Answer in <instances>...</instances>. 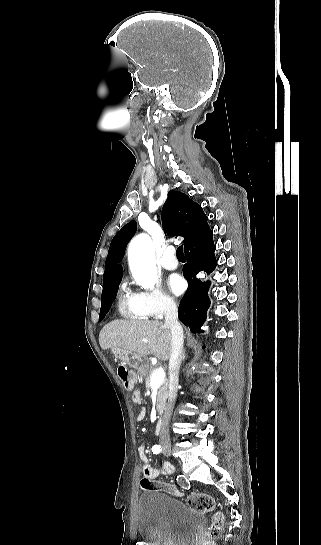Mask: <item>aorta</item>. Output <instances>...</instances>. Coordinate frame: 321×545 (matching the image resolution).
<instances>
[{
  "instance_id": "aorta-1",
  "label": "aorta",
  "mask_w": 321,
  "mask_h": 545,
  "mask_svg": "<svg viewBox=\"0 0 321 545\" xmlns=\"http://www.w3.org/2000/svg\"><path fill=\"white\" fill-rule=\"evenodd\" d=\"M128 261L135 281L144 289H152L156 282V262L151 238L136 236L128 249Z\"/></svg>"
}]
</instances>
